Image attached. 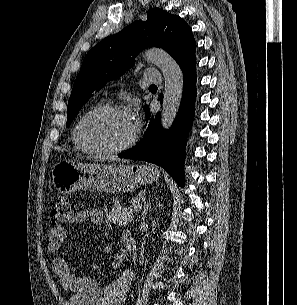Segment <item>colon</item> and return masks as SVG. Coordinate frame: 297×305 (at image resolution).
Wrapping results in <instances>:
<instances>
[{
    "mask_svg": "<svg viewBox=\"0 0 297 305\" xmlns=\"http://www.w3.org/2000/svg\"><path fill=\"white\" fill-rule=\"evenodd\" d=\"M75 216L76 210L73 203L64 197L57 198L50 213L51 222L54 225H62L72 222Z\"/></svg>",
    "mask_w": 297,
    "mask_h": 305,
    "instance_id": "1",
    "label": "colon"
}]
</instances>
